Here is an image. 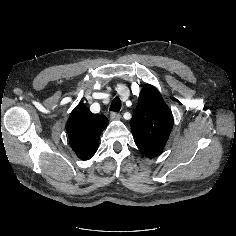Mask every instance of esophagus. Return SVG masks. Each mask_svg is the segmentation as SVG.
Segmentation results:
<instances>
[{
  "instance_id": "obj_1",
  "label": "esophagus",
  "mask_w": 236,
  "mask_h": 236,
  "mask_svg": "<svg viewBox=\"0 0 236 236\" xmlns=\"http://www.w3.org/2000/svg\"><path fill=\"white\" fill-rule=\"evenodd\" d=\"M110 117L112 120H119L121 118V115L120 113H117V112H111Z\"/></svg>"
}]
</instances>
